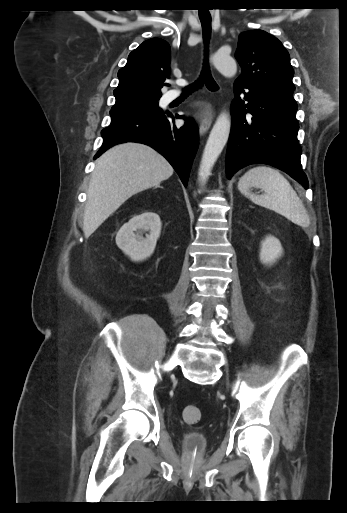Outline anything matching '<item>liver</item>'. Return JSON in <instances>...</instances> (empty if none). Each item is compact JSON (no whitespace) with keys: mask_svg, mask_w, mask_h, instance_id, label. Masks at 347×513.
Wrapping results in <instances>:
<instances>
[{"mask_svg":"<svg viewBox=\"0 0 347 513\" xmlns=\"http://www.w3.org/2000/svg\"><path fill=\"white\" fill-rule=\"evenodd\" d=\"M173 168L153 148L136 142L118 144L100 156L92 172L83 221L89 237L131 196L159 186Z\"/></svg>","mask_w":347,"mask_h":513,"instance_id":"obj_1","label":"liver"}]
</instances>
